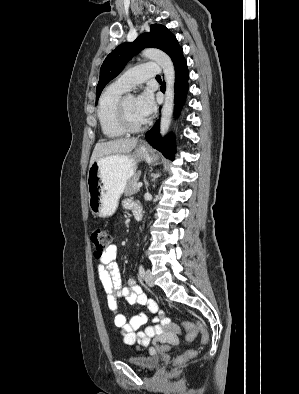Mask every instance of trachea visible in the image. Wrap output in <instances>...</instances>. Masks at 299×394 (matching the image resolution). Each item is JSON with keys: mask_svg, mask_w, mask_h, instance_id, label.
Here are the masks:
<instances>
[{"mask_svg": "<svg viewBox=\"0 0 299 394\" xmlns=\"http://www.w3.org/2000/svg\"><path fill=\"white\" fill-rule=\"evenodd\" d=\"M156 79H161V77L158 75V76H156Z\"/></svg>", "mask_w": 299, "mask_h": 394, "instance_id": "obj_1", "label": "trachea"}]
</instances>
